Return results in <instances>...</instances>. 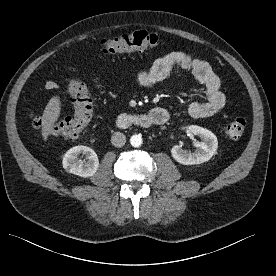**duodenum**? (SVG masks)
<instances>
[{
    "instance_id": "duodenum-1",
    "label": "duodenum",
    "mask_w": 276,
    "mask_h": 276,
    "mask_svg": "<svg viewBox=\"0 0 276 276\" xmlns=\"http://www.w3.org/2000/svg\"><path fill=\"white\" fill-rule=\"evenodd\" d=\"M167 119V112L158 109L153 114H121L116 118L115 125L121 129H127L132 126L149 128L154 125H162Z\"/></svg>"
}]
</instances>
